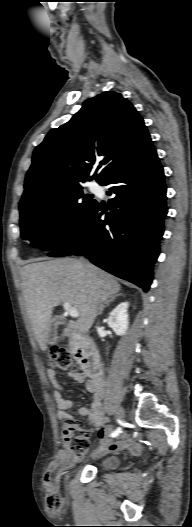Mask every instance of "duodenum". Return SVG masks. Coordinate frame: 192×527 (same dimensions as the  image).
<instances>
[{"label": "duodenum", "mask_w": 192, "mask_h": 527, "mask_svg": "<svg viewBox=\"0 0 192 527\" xmlns=\"http://www.w3.org/2000/svg\"><path fill=\"white\" fill-rule=\"evenodd\" d=\"M74 353L86 373L101 376L99 356L93 341L80 334L72 333Z\"/></svg>", "instance_id": "410a0bca"}]
</instances>
